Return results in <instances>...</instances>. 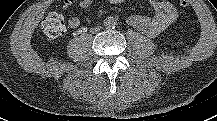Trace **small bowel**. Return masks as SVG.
Returning a JSON list of instances; mask_svg holds the SVG:
<instances>
[{
	"label": "small bowel",
	"instance_id": "1",
	"mask_svg": "<svg viewBox=\"0 0 217 121\" xmlns=\"http://www.w3.org/2000/svg\"><path fill=\"white\" fill-rule=\"evenodd\" d=\"M126 0H109L110 3L117 4L125 2ZM64 8L68 9L72 6L74 0H64ZM158 12L154 19H148L144 16L134 15L129 18V22L138 29L146 32H154L160 30L176 18V10L168 0H149ZM92 3V0H82L80 5L83 8L88 7ZM71 28H77L80 25L79 19L75 15H71L68 21Z\"/></svg>",
	"mask_w": 217,
	"mask_h": 121
}]
</instances>
